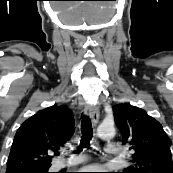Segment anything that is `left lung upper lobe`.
<instances>
[{"mask_svg": "<svg viewBox=\"0 0 173 173\" xmlns=\"http://www.w3.org/2000/svg\"><path fill=\"white\" fill-rule=\"evenodd\" d=\"M123 143L130 145L132 165L122 173H173L169 139L162 125L129 103L113 106Z\"/></svg>", "mask_w": 173, "mask_h": 173, "instance_id": "5c2ea615", "label": "left lung upper lobe"}]
</instances>
